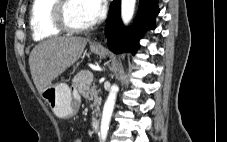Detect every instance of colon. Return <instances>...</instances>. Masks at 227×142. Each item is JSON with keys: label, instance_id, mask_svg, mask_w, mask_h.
Here are the masks:
<instances>
[{"label": "colon", "instance_id": "1", "mask_svg": "<svg viewBox=\"0 0 227 142\" xmlns=\"http://www.w3.org/2000/svg\"><path fill=\"white\" fill-rule=\"evenodd\" d=\"M71 142H84L81 137L79 136H74L71 140Z\"/></svg>", "mask_w": 227, "mask_h": 142}]
</instances>
